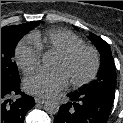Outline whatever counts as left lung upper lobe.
I'll return each mask as SVG.
<instances>
[{"instance_id":"1","label":"left lung upper lobe","mask_w":123,"mask_h":123,"mask_svg":"<svg viewBox=\"0 0 123 123\" xmlns=\"http://www.w3.org/2000/svg\"><path fill=\"white\" fill-rule=\"evenodd\" d=\"M89 39L94 43L100 53V68L97 79L93 80L82 90L114 95L116 73L110 46L101 37L93 33H90Z\"/></svg>"}]
</instances>
